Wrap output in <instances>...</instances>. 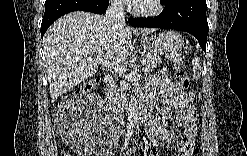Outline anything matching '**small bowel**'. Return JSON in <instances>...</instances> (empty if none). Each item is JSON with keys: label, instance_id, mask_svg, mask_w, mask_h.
<instances>
[{"label": "small bowel", "instance_id": "obj_1", "mask_svg": "<svg viewBox=\"0 0 247 156\" xmlns=\"http://www.w3.org/2000/svg\"><path fill=\"white\" fill-rule=\"evenodd\" d=\"M161 97L163 106L158 114L152 115L146 125V131L153 145L164 144L171 146L175 143V135L171 126L183 130V137L177 144V155H192L196 137V108L191 109L184 92L178 83L172 82L164 73L154 76L146 88V100L151 107L155 100ZM174 108V114L171 108ZM152 147L150 154L157 155Z\"/></svg>", "mask_w": 247, "mask_h": 156}]
</instances>
